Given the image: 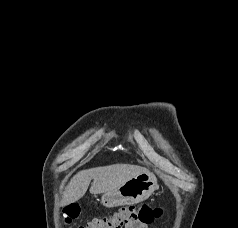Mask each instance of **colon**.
<instances>
[{
	"mask_svg": "<svg viewBox=\"0 0 238 228\" xmlns=\"http://www.w3.org/2000/svg\"><path fill=\"white\" fill-rule=\"evenodd\" d=\"M80 213L77 205H68L63 209L66 223H70ZM162 215V210L148 204L141 206H123L116 211L96 217L77 228H134L138 224L150 225Z\"/></svg>",
	"mask_w": 238,
	"mask_h": 228,
	"instance_id": "colon-1",
	"label": "colon"
}]
</instances>
